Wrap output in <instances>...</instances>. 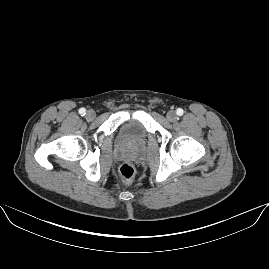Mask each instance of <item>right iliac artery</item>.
Instances as JSON below:
<instances>
[{
	"label": "right iliac artery",
	"instance_id": "1",
	"mask_svg": "<svg viewBox=\"0 0 269 269\" xmlns=\"http://www.w3.org/2000/svg\"><path fill=\"white\" fill-rule=\"evenodd\" d=\"M79 114H81V116H84V115L86 114V110H85V108H81V109L79 110Z\"/></svg>",
	"mask_w": 269,
	"mask_h": 269
}]
</instances>
